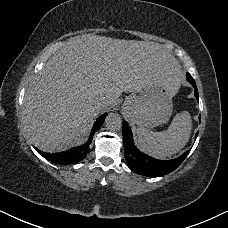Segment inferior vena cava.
<instances>
[{
    "mask_svg": "<svg viewBox=\"0 0 228 228\" xmlns=\"http://www.w3.org/2000/svg\"><path fill=\"white\" fill-rule=\"evenodd\" d=\"M96 106H97L98 108H101L102 102L98 101V102L96 103Z\"/></svg>",
    "mask_w": 228,
    "mask_h": 228,
    "instance_id": "602c4592",
    "label": "inferior vena cava"
}]
</instances>
